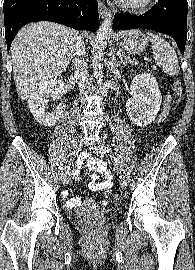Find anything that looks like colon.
Returning <instances> with one entry per match:
<instances>
[{
  "instance_id": "5ec220e1",
  "label": "colon",
  "mask_w": 195,
  "mask_h": 270,
  "mask_svg": "<svg viewBox=\"0 0 195 270\" xmlns=\"http://www.w3.org/2000/svg\"><path fill=\"white\" fill-rule=\"evenodd\" d=\"M173 91L176 94L177 97V102H179L182 98V88H181V84L179 81H174L173 83ZM114 203H119L120 202V196L119 195H115L113 198Z\"/></svg>"
}]
</instances>
